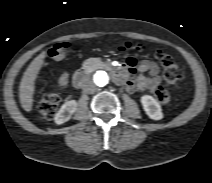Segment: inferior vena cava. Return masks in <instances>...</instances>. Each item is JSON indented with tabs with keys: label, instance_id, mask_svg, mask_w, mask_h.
Masks as SVG:
<instances>
[{
	"label": "inferior vena cava",
	"instance_id": "1",
	"mask_svg": "<svg viewBox=\"0 0 212 183\" xmlns=\"http://www.w3.org/2000/svg\"><path fill=\"white\" fill-rule=\"evenodd\" d=\"M97 87L92 82H87L83 86V91L87 94L94 93L96 91Z\"/></svg>",
	"mask_w": 212,
	"mask_h": 183
}]
</instances>
